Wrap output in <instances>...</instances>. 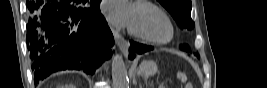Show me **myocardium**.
Returning a JSON list of instances; mask_svg holds the SVG:
<instances>
[{
	"mask_svg": "<svg viewBox=\"0 0 267 88\" xmlns=\"http://www.w3.org/2000/svg\"><path fill=\"white\" fill-rule=\"evenodd\" d=\"M134 7H144V8H147V9H150V10L156 12L159 16H161L167 22L169 29H170V34L165 39H153V38H150L148 36H145V35L139 33L138 31H136L132 27H129L128 32L131 35H133L134 37H136V38H138L144 42H147V43L153 44V45H165V44L170 43L174 39L175 28H174L173 22L171 21V19L168 17V15L164 11H162L160 8L153 5L152 3L146 2V1L135 2Z\"/></svg>",
	"mask_w": 267,
	"mask_h": 88,
	"instance_id": "obj_1",
	"label": "myocardium"
}]
</instances>
